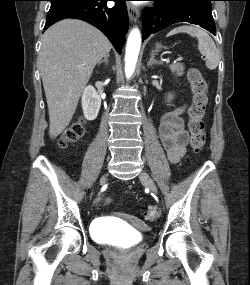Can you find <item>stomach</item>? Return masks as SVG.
<instances>
[{
    "label": "stomach",
    "instance_id": "1",
    "mask_svg": "<svg viewBox=\"0 0 250 285\" xmlns=\"http://www.w3.org/2000/svg\"><path fill=\"white\" fill-rule=\"evenodd\" d=\"M161 48V46L159 45V44H157L156 45V49L158 50V49H160Z\"/></svg>",
    "mask_w": 250,
    "mask_h": 285
}]
</instances>
